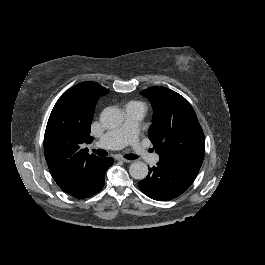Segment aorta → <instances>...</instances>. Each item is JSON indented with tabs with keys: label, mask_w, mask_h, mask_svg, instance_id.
Returning a JSON list of instances; mask_svg holds the SVG:
<instances>
[{
	"label": "aorta",
	"mask_w": 265,
	"mask_h": 265,
	"mask_svg": "<svg viewBox=\"0 0 265 265\" xmlns=\"http://www.w3.org/2000/svg\"><path fill=\"white\" fill-rule=\"evenodd\" d=\"M123 114L119 108L106 107L100 115L101 123L108 129L118 128L123 122ZM131 177L143 180L148 175V166L142 161H135L129 167Z\"/></svg>",
	"instance_id": "obj_1"
}]
</instances>
